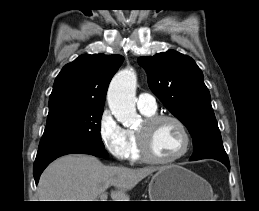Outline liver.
Here are the masks:
<instances>
[{"label": "liver", "mask_w": 259, "mask_h": 211, "mask_svg": "<svg viewBox=\"0 0 259 211\" xmlns=\"http://www.w3.org/2000/svg\"><path fill=\"white\" fill-rule=\"evenodd\" d=\"M160 169L105 166L94 156L67 155L55 160L42 173L37 188L38 199L98 201L109 186H114L112 201H129L127 191Z\"/></svg>", "instance_id": "obj_1"}]
</instances>
